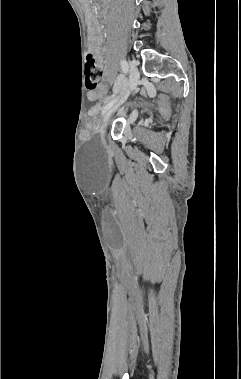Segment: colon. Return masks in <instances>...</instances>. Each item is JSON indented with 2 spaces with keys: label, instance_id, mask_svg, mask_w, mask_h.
<instances>
[{
  "label": "colon",
  "instance_id": "obj_1",
  "mask_svg": "<svg viewBox=\"0 0 241 379\" xmlns=\"http://www.w3.org/2000/svg\"><path fill=\"white\" fill-rule=\"evenodd\" d=\"M85 75H86V86H97L99 78H100V73L97 68L96 60L91 54L87 56L86 66H85ZM111 92H112V89L110 87H101L99 89V95L103 99H106L108 97V94H110ZM166 107L168 110H173L175 106L173 103H168Z\"/></svg>",
  "mask_w": 241,
  "mask_h": 379
}]
</instances>
